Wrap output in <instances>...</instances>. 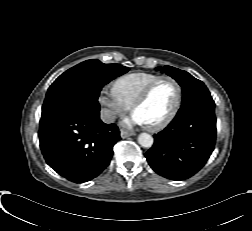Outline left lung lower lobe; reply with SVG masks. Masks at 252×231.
<instances>
[{"label": "left lung lower lobe", "mask_w": 252, "mask_h": 231, "mask_svg": "<svg viewBox=\"0 0 252 231\" xmlns=\"http://www.w3.org/2000/svg\"><path fill=\"white\" fill-rule=\"evenodd\" d=\"M215 138L213 99L192 100L183 104L173 121L154 135V145L145 156L159 175L173 180L187 179L207 162Z\"/></svg>", "instance_id": "left-lung-lower-lobe-1"}]
</instances>
